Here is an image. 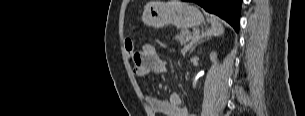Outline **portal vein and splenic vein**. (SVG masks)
<instances>
[{
	"label": "portal vein and splenic vein",
	"instance_id": "obj_1",
	"mask_svg": "<svg viewBox=\"0 0 305 116\" xmlns=\"http://www.w3.org/2000/svg\"><path fill=\"white\" fill-rule=\"evenodd\" d=\"M197 35H198V33H194L193 36H192V39H194V37H196Z\"/></svg>",
	"mask_w": 305,
	"mask_h": 116
}]
</instances>
